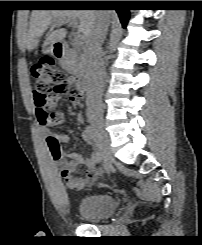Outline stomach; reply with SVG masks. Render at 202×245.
Here are the masks:
<instances>
[{"label":"stomach","instance_id":"stomach-1","mask_svg":"<svg viewBox=\"0 0 202 245\" xmlns=\"http://www.w3.org/2000/svg\"><path fill=\"white\" fill-rule=\"evenodd\" d=\"M42 53L43 54L53 55L54 54V44L44 45L43 49H42Z\"/></svg>","mask_w":202,"mask_h":245}]
</instances>
